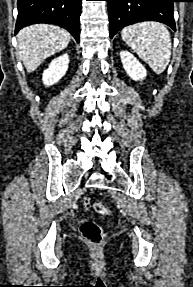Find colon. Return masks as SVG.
<instances>
[{"label": "colon", "instance_id": "5ec220e1", "mask_svg": "<svg viewBox=\"0 0 193 287\" xmlns=\"http://www.w3.org/2000/svg\"><path fill=\"white\" fill-rule=\"evenodd\" d=\"M84 206L86 209H93L96 213L100 215H108L109 210L99 203H92L89 198H85ZM81 235L83 239L93 246H100L104 239V234L101 226L95 221H86L81 225L80 228Z\"/></svg>", "mask_w": 193, "mask_h": 287}]
</instances>
